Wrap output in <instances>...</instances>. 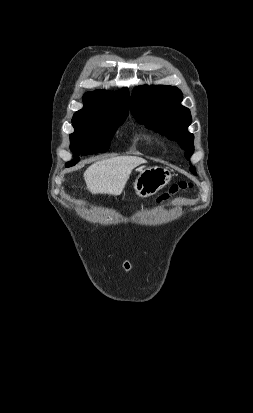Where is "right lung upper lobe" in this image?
Returning <instances> with one entry per match:
<instances>
[{"label":"right lung upper lobe","mask_w":253,"mask_h":413,"mask_svg":"<svg viewBox=\"0 0 253 413\" xmlns=\"http://www.w3.org/2000/svg\"><path fill=\"white\" fill-rule=\"evenodd\" d=\"M83 102L84 107L74 114L72 123L94 122L128 115L129 112V92L126 88L115 94L104 90L87 92Z\"/></svg>","instance_id":"cb5924a9"}]
</instances>
